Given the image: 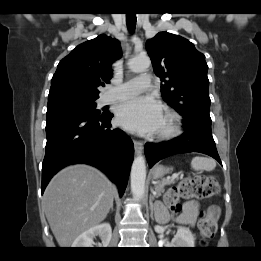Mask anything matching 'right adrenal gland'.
<instances>
[{
    "label": "right adrenal gland",
    "mask_w": 261,
    "mask_h": 261,
    "mask_svg": "<svg viewBox=\"0 0 261 261\" xmlns=\"http://www.w3.org/2000/svg\"><path fill=\"white\" fill-rule=\"evenodd\" d=\"M111 211H113V206L111 207Z\"/></svg>",
    "instance_id": "2a0ac1e0"
}]
</instances>
